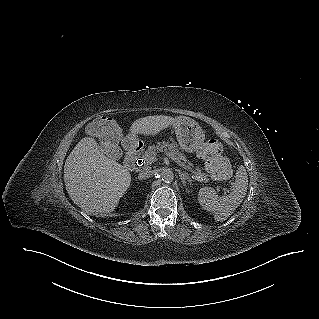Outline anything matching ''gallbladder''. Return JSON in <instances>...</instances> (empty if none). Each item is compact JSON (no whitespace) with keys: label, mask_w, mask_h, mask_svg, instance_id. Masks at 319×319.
Returning a JSON list of instances; mask_svg holds the SVG:
<instances>
[{"label":"gallbladder","mask_w":319,"mask_h":319,"mask_svg":"<svg viewBox=\"0 0 319 319\" xmlns=\"http://www.w3.org/2000/svg\"><path fill=\"white\" fill-rule=\"evenodd\" d=\"M119 149L118 145L115 144H108L106 146H103L104 152L107 154L108 157H115L114 152Z\"/></svg>","instance_id":"gallbladder-1"}]
</instances>
